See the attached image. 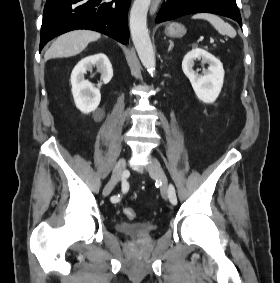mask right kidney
<instances>
[{
	"instance_id": "1",
	"label": "right kidney",
	"mask_w": 280,
	"mask_h": 283,
	"mask_svg": "<svg viewBox=\"0 0 280 283\" xmlns=\"http://www.w3.org/2000/svg\"><path fill=\"white\" fill-rule=\"evenodd\" d=\"M96 66L101 74L103 84H107L113 77V69L108 57L103 53L83 58L71 73L72 94L76 107L88 114L94 111L101 100L100 87L95 88L91 82L84 79V74Z\"/></svg>"
}]
</instances>
